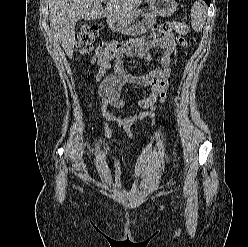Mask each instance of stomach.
<instances>
[{"label": "stomach", "instance_id": "1", "mask_svg": "<svg viewBox=\"0 0 248 247\" xmlns=\"http://www.w3.org/2000/svg\"><path fill=\"white\" fill-rule=\"evenodd\" d=\"M148 11L138 10L126 20L108 22L109 27L115 31L129 36H139L147 32L158 16L168 17L177 10L175 0H146Z\"/></svg>", "mask_w": 248, "mask_h": 247}]
</instances>
